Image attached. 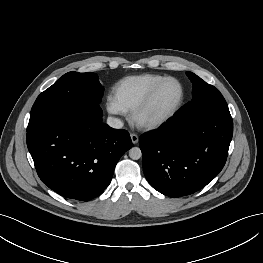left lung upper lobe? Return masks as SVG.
Instances as JSON below:
<instances>
[{
    "label": "left lung upper lobe",
    "mask_w": 263,
    "mask_h": 263,
    "mask_svg": "<svg viewBox=\"0 0 263 263\" xmlns=\"http://www.w3.org/2000/svg\"><path fill=\"white\" fill-rule=\"evenodd\" d=\"M193 83V99L176 114L183 124L215 114H230L228 105L216 87L206 83L192 72H186Z\"/></svg>",
    "instance_id": "obj_1"
}]
</instances>
